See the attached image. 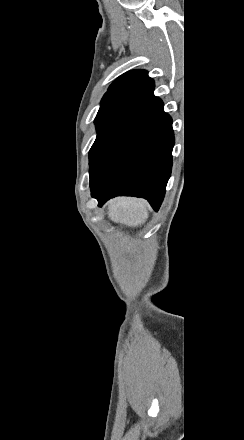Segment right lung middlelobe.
<instances>
[{"label": "right lung middle lobe", "mask_w": 244, "mask_h": 440, "mask_svg": "<svg viewBox=\"0 0 244 440\" xmlns=\"http://www.w3.org/2000/svg\"><path fill=\"white\" fill-rule=\"evenodd\" d=\"M140 101L137 98H116L101 101L95 123L97 138L90 149V165L103 142L116 124Z\"/></svg>", "instance_id": "right-lung-middle-lobe-1"}]
</instances>
